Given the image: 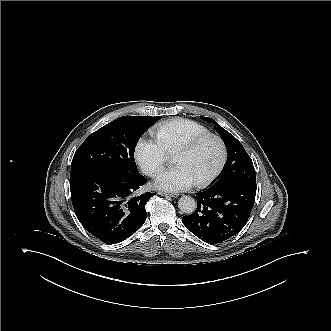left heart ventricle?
I'll use <instances>...</instances> for the list:
<instances>
[{"mask_svg":"<svg viewBox=\"0 0 331 331\" xmlns=\"http://www.w3.org/2000/svg\"><path fill=\"white\" fill-rule=\"evenodd\" d=\"M218 159L216 144L208 141L182 158L181 164L196 181L197 178L209 174L216 166Z\"/></svg>","mask_w":331,"mask_h":331,"instance_id":"left-heart-ventricle-1","label":"left heart ventricle"}]
</instances>
